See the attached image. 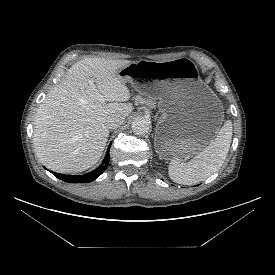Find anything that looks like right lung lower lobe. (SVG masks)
Returning <instances> with one entry per match:
<instances>
[{
  "label": "right lung lower lobe",
  "instance_id": "98d812e1",
  "mask_svg": "<svg viewBox=\"0 0 275 275\" xmlns=\"http://www.w3.org/2000/svg\"><path fill=\"white\" fill-rule=\"evenodd\" d=\"M111 145V144H110ZM110 145L107 149L105 158L102 162V164L95 169L92 172H89L85 175L82 176H75V175H64V174H59V173H54L52 172L57 178L66 181V182H72V183H87V182H91L93 180H95L97 177H99L107 168V165L109 163V149H110Z\"/></svg>",
  "mask_w": 275,
  "mask_h": 275
}]
</instances>
